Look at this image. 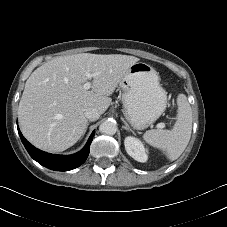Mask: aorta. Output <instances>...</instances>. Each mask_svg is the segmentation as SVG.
Returning <instances> with one entry per match:
<instances>
[{"label":"aorta","mask_w":227,"mask_h":227,"mask_svg":"<svg viewBox=\"0 0 227 227\" xmlns=\"http://www.w3.org/2000/svg\"><path fill=\"white\" fill-rule=\"evenodd\" d=\"M100 132L107 135H114L117 131L116 123L112 120H106L102 122L99 126Z\"/></svg>","instance_id":"obj_1"}]
</instances>
